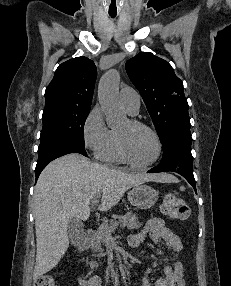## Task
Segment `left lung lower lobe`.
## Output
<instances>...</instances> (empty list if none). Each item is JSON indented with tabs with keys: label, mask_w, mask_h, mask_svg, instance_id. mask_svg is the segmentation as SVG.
I'll use <instances>...</instances> for the list:
<instances>
[{
	"label": "left lung lower lobe",
	"mask_w": 231,
	"mask_h": 286,
	"mask_svg": "<svg viewBox=\"0 0 231 286\" xmlns=\"http://www.w3.org/2000/svg\"><path fill=\"white\" fill-rule=\"evenodd\" d=\"M163 158L160 164L149 173L172 171L186 178L196 191L192 169L190 129H180L170 132L162 141Z\"/></svg>",
	"instance_id": "left-lung-lower-lobe-1"
}]
</instances>
